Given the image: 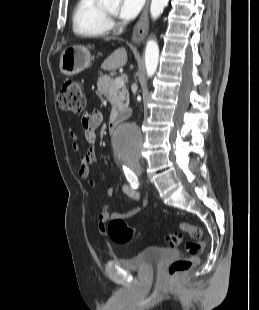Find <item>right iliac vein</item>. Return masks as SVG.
I'll list each match as a JSON object with an SVG mask.
<instances>
[{
  "mask_svg": "<svg viewBox=\"0 0 259 310\" xmlns=\"http://www.w3.org/2000/svg\"><path fill=\"white\" fill-rule=\"evenodd\" d=\"M132 169H133L134 171H138V170L140 169V166H134Z\"/></svg>",
  "mask_w": 259,
  "mask_h": 310,
  "instance_id": "right-iliac-vein-1",
  "label": "right iliac vein"
}]
</instances>
